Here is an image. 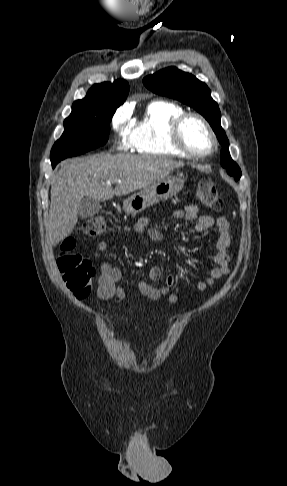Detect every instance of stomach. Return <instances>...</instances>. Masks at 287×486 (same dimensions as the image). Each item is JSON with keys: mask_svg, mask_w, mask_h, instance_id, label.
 <instances>
[{"mask_svg": "<svg viewBox=\"0 0 287 486\" xmlns=\"http://www.w3.org/2000/svg\"><path fill=\"white\" fill-rule=\"evenodd\" d=\"M183 186L184 180L181 177L166 176L126 198L123 209L130 214L141 212L148 206L175 195Z\"/></svg>", "mask_w": 287, "mask_h": 486, "instance_id": "0dacf381", "label": "stomach"}]
</instances>
